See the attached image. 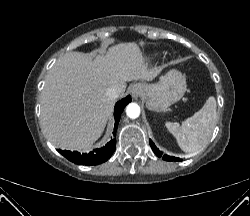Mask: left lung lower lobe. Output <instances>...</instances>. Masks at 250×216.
Returning <instances> with one entry per match:
<instances>
[{"label": "left lung lower lobe", "instance_id": "obj_1", "mask_svg": "<svg viewBox=\"0 0 250 216\" xmlns=\"http://www.w3.org/2000/svg\"><path fill=\"white\" fill-rule=\"evenodd\" d=\"M150 146L153 150V152L158 156V157H162L164 160L167 161H180L181 159L176 158V157H172V156H168V155H162V153L159 151V149L155 146V144L152 142V140H150Z\"/></svg>", "mask_w": 250, "mask_h": 216}]
</instances>
